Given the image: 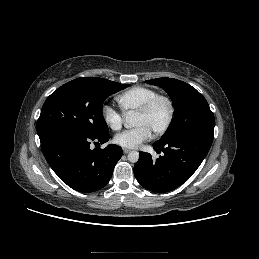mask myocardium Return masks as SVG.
I'll list each match as a JSON object with an SVG mask.
<instances>
[{"mask_svg": "<svg viewBox=\"0 0 259 259\" xmlns=\"http://www.w3.org/2000/svg\"><path fill=\"white\" fill-rule=\"evenodd\" d=\"M159 101H164L167 104L169 114H168V118H167V121L165 122V124L160 129H158L156 132H154L155 136H161V135L165 134L170 129V127L174 121L175 106H174V103L171 100V98L166 95L157 94L154 97L150 98L146 103H144L136 111V114L147 115Z\"/></svg>", "mask_w": 259, "mask_h": 259, "instance_id": "obj_1", "label": "myocardium"}]
</instances>
